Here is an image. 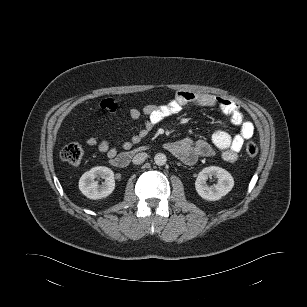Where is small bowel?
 Instances as JSON below:
<instances>
[{"label": "small bowel", "instance_id": "1", "mask_svg": "<svg viewBox=\"0 0 307 307\" xmlns=\"http://www.w3.org/2000/svg\"><path fill=\"white\" fill-rule=\"evenodd\" d=\"M100 107L105 112L114 113L118 108V103L115 99L109 98L103 100ZM186 107L218 108L230 118L233 125L239 128V132L232 136L225 130H217L213 133L210 142L184 138L167 143L165 148L187 165L194 164L199 158L212 156L215 150L221 151L224 161L235 162L244 142L254 134L253 124L245 120L235 102L211 94L191 91H179L172 100L165 104H149L142 109L129 108L127 110L129 118L138 120L143 117L144 124L137 133L123 141L122 148L124 150L131 149L165 118L180 113ZM85 143L90 147H96L111 161L118 155L114 146H111L106 139H100L96 134L87 136Z\"/></svg>", "mask_w": 307, "mask_h": 307}]
</instances>
